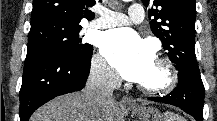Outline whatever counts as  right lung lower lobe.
Wrapping results in <instances>:
<instances>
[{"mask_svg":"<svg viewBox=\"0 0 217 121\" xmlns=\"http://www.w3.org/2000/svg\"><path fill=\"white\" fill-rule=\"evenodd\" d=\"M92 52L84 59L51 54L26 57L19 92L20 121H28L54 97L81 90L90 72Z\"/></svg>","mask_w":217,"mask_h":121,"instance_id":"right-lung-lower-lobe-1","label":"right lung lower lobe"}]
</instances>
